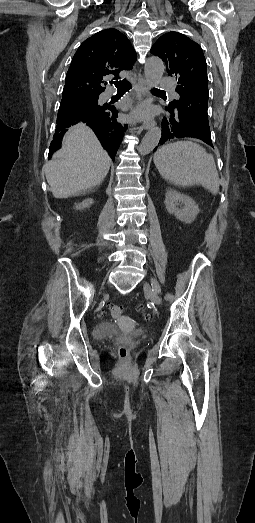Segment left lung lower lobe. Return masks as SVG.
I'll return each instance as SVG.
<instances>
[{
    "instance_id": "left-lung-lower-lobe-1",
    "label": "left lung lower lobe",
    "mask_w": 255,
    "mask_h": 523,
    "mask_svg": "<svg viewBox=\"0 0 255 523\" xmlns=\"http://www.w3.org/2000/svg\"><path fill=\"white\" fill-rule=\"evenodd\" d=\"M181 111H166V115L162 118V134H160L157 147L162 149L168 140H173V137H198L206 146L212 145L211 137L207 126L199 125L196 121H188L189 115H179Z\"/></svg>"
}]
</instances>
